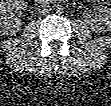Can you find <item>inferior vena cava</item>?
<instances>
[{
    "instance_id": "obj_1",
    "label": "inferior vena cava",
    "mask_w": 111,
    "mask_h": 106,
    "mask_svg": "<svg viewBox=\"0 0 111 106\" xmlns=\"http://www.w3.org/2000/svg\"><path fill=\"white\" fill-rule=\"evenodd\" d=\"M38 11H39V14L45 15L51 11V7L48 4L43 3L39 6Z\"/></svg>"
}]
</instances>
